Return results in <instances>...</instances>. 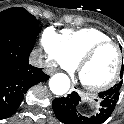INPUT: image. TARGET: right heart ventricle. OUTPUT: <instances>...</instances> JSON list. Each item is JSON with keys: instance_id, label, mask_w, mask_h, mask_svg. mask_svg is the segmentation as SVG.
I'll list each match as a JSON object with an SVG mask.
<instances>
[{"instance_id": "right-heart-ventricle-1", "label": "right heart ventricle", "mask_w": 124, "mask_h": 124, "mask_svg": "<svg viewBox=\"0 0 124 124\" xmlns=\"http://www.w3.org/2000/svg\"><path fill=\"white\" fill-rule=\"evenodd\" d=\"M61 46L67 59L77 64L80 58L95 44L111 38L97 28L65 29L60 34Z\"/></svg>"}]
</instances>
